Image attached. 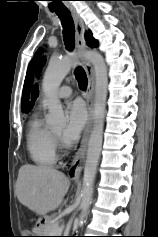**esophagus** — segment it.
<instances>
[{
	"label": "esophagus",
	"instance_id": "1",
	"mask_svg": "<svg viewBox=\"0 0 158 237\" xmlns=\"http://www.w3.org/2000/svg\"><path fill=\"white\" fill-rule=\"evenodd\" d=\"M72 18L75 24V43L76 47L80 52H84L87 49L86 41H85V26L82 18L77 13L74 7L69 8ZM81 63L85 69L87 78H88V86L85 95L87 109H88V121L85 127L83 137L80 143L78 150L76 151L73 159L70 162V167L68 169V177L72 181H77L80 178L85 156L88 148V141L92 129L93 119H94V86H95V73L91 63L84 57L81 58Z\"/></svg>",
	"mask_w": 158,
	"mask_h": 237
}]
</instances>
